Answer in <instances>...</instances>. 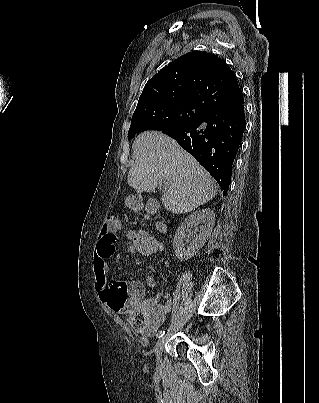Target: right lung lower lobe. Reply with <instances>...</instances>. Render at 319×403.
<instances>
[{"label":"right lung lower lobe","mask_w":319,"mask_h":403,"mask_svg":"<svg viewBox=\"0 0 319 403\" xmlns=\"http://www.w3.org/2000/svg\"><path fill=\"white\" fill-rule=\"evenodd\" d=\"M244 102L207 112L199 121L161 129L216 179L226 195L245 129Z\"/></svg>","instance_id":"obj_1"}]
</instances>
